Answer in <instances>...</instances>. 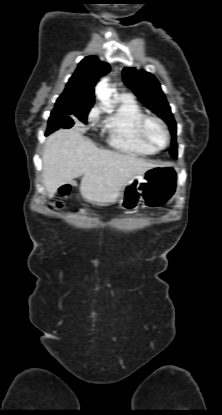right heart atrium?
I'll return each mask as SVG.
<instances>
[{
    "instance_id": "right-heart-atrium-1",
    "label": "right heart atrium",
    "mask_w": 222,
    "mask_h": 415,
    "mask_svg": "<svg viewBox=\"0 0 222 415\" xmlns=\"http://www.w3.org/2000/svg\"><path fill=\"white\" fill-rule=\"evenodd\" d=\"M99 117H100V110H99V108L98 107H93L88 112V114H87V121L90 124L93 125V124H95L99 120Z\"/></svg>"
}]
</instances>
